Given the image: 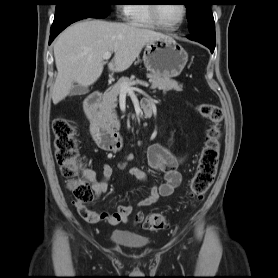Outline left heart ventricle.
Listing matches in <instances>:
<instances>
[{
    "mask_svg": "<svg viewBox=\"0 0 278 278\" xmlns=\"http://www.w3.org/2000/svg\"><path fill=\"white\" fill-rule=\"evenodd\" d=\"M157 13L159 19L163 23L167 25H174L181 18L182 6L181 4H177V3L159 5L157 7Z\"/></svg>",
    "mask_w": 278,
    "mask_h": 278,
    "instance_id": "left-heart-ventricle-1",
    "label": "left heart ventricle"
}]
</instances>
